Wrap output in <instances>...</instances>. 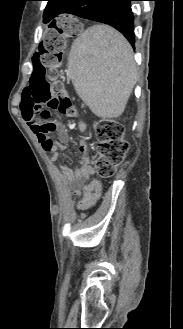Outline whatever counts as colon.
Wrapping results in <instances>:
<instances>
[{
    "mask_svg": "<svg viewBox=\"0 0 183 329\" xmlns=\"http://www.w3.org/2000/svg\"><path fill=\"white\" fill-rule=\"evenodd\" d=\"M81 31L80 19L77 14H56V19H50V25H43V31H38V38H44L37 49L36 55H30L31 81L23 86L21 113L38 116L47 121L54 112L74 116L76 110L65 91L64 74L61 64L65 54V44H73L77 32ZM56 127L51 123H40L39 132L44 137L43 146H52L49 135ZM98 150L94 158V166L98 176L111 177L116 168L123 162L129 149L124 138V127L114 120H103L96 125Z\"/></svg>",
    "mask_w": 183,
    "mask_h": 329,
    "instance_id": "obj_1",
    "label": "colon"
}]
</instances>
